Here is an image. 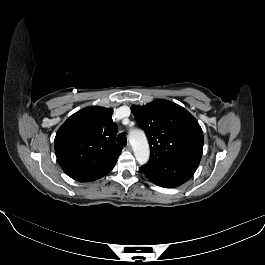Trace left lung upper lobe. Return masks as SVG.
Wrapping results in <instances>:
<instances>
[{
	"instance_id": "left-lung-upper-lobe-1",
	"label": "left lung upper lobe",
	"mask_w": 265,
	"mask_h": 265,
	"mask_svg": "<svg viewBox=\"0 0 265 265\" xmlns=\"http://www.w3.org/2000/svg\"><path fill=\"white\" fill-rule=\"evenodd\" d=\"M131 110L149 140L148 164L202 155V129L183 107L171 101L155 100L144 106L134 105Z\"/></svg>"
}]
</instances>
